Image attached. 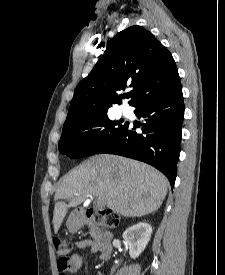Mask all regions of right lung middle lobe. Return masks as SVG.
Returning a JSON list of instances; mask_svg holds the SVG:
<instances>
[{
	"instance_id": "dd1d6c3e",
	"label": "right lung middle lobe",
	"mask_w": 225,
	"mask_h": 275,
	"mask_svg": "<svg viewBox=\"0 0 225 275\" xmlns=\"http://www.w3.org/2000/svg\"><path fill=\"white\" fill-rule=\"evenodd\" d=\"M127 122L111 121L107 112L84 118L63 127L59 151L70 158L96 154L105 144L119 135Z\"/></svg>"
}]
</instances>
